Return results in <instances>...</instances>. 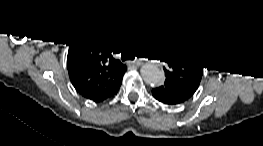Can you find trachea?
I'll return each mask as SVG.
<instances>
[{"label":"trachea","mask_w":263,"mask_h":146,"mask_svg":"<svg viewBox=\"0 0 263 146\" xmlns=\"http://www.w3.org/2000/svg\"><path fill=\"white\" fill-rule=\"evenodd\" d=\"M135 58V54L132 52V51H129V50H122L121 51V59L122 61H125V60H134Z\"/></svg>","instance_id":"trachea-1"}]
</instances>
